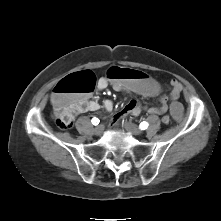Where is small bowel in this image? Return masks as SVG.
Returning a JSON list of instances; mask_svg holds the SVG:
<instances>
[{"mask_svg": "<svg viewBox=\"0 0 221 221\" xmlns=\"http://www.w3.org/2000/svg\"><path fill=\"white\" fill-rule=\"evenodd\" d=\"M109 85H111L112 88L116 91H127L130 93H136L134 90L129 89L127 86H124L123 84L113 83V82L110 83V81L105 77H101L97 81V89L99 91L106 89ZM181 92H182V85L180 84V82H178L177 80H172L170 96L168 97V95L165 93H162V94L159 93L160 95L158 94L159 95L158 100L163 105L156 107V108H150L148 112L150 114L156 113V114L162 115L163 123H168L169 116L167 115V112L169 111V105H166L165 103H167L168 100L169 101L178 100V98L181 95ZM143 96H146V95H143ZM76 103L78 105V111L76 112L75 117L78 114H82L88 111L94 112L100 109V104L96 100H93L91 98V94L89 93L80 96ZM104 108L106 111H111L113 109L112 101L106 100L104 102ZM141 111H142V106L137 101L131 100L119 113L115 115L113 119V124H117L120 120L124 119L128 115H138L141 113Z\"/></svg>", "mask_w": 221, "mask_h": 221, "instance_id": "small-bowel-1", "label": "small bowel"}]
</instances>
